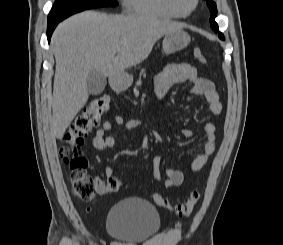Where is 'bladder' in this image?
<instances>
[{
    "instance_id": "1",
    "label": "bladder",
    "mask_w": 283,
    "mask_h": 245,
    "mask_svg": "<svg viewBox=\"0 0 283 245\" xmlns=\"http://www.w3.org/2000/svg\"><path fill=\"white\" fill-rule=\"evenodd\" d=\"M161 228L157 209L140 198L117 202L107 216L110 237L120 242L139 243L156 235Z\"/></svg>"
}]
</instances>
